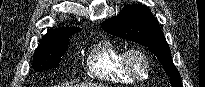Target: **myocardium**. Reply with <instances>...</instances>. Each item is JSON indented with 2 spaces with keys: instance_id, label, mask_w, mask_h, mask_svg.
<instances>
[{
  "instance_id": "1",
  "label": "myocardium",
  "mask_w": 205,
  "mask_h": 87,
  "mask_svg": "<svg viewBox=\"0 0 205 87\" xmlns=\"http://www.w3.org/2000/svg\"><path fill=\"white\" fill-rule=\"evenodd\" d=\"M138 57L145 62L146 71L143 75H139L132 66V59ZM121 63L124 71L135 81H142L148 78L152 69V62L149 55L142 49L132 47L123 51L121 56Z\"/></svg>"
}]
</instances>
